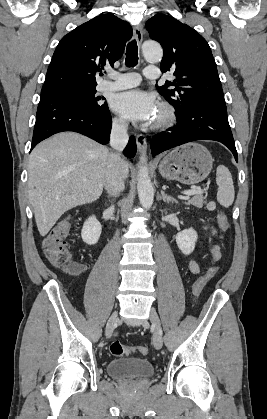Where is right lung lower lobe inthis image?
<instances>
[{
  "label": "right lung lower lobe",
  "mask_w": 267,
  "mask_h": 419,
  "mask_svg": "<svg viewBox=\"0 0 267 419\" xmlns=\"http://www.w3.org/2000/svg\"><path fill=\"white\" fill-rule=\"evenodd\" d=\"M111 126L112 119L108 106L100 110H90L71 99L43 93L37 108L31 149L42 140L63 131L78 132L101 144H107ZM135 153L136 141L131 136L124 154L127 157H134Z\"/></svg>",
  "instance_id": "1"
}]
</instances>
